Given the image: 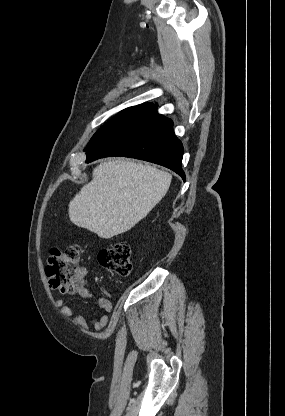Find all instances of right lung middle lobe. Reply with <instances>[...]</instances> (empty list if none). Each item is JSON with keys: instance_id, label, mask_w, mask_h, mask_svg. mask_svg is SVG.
Here are the masks:
<instances>
[{"instance_id": "right-lung-middle-lobe-1", "label": "right lung middle lobe", "mask_w": 285, "mask_h": 416, "mask_svg": "<svg viewBox=\"0 0 285 416\" xmlns=\"http://www.w3.org/2000/svg\"><path fill=\"white\" fill-rule=\"evenodd\" d=\"M156 110V105L146 103L120 111L93 135L85 151L96 146L103 140L111 137L121 130L154 115Z\"/></svg>"}]
</instances>
